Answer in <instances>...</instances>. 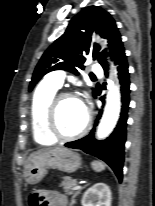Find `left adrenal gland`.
<instances>
[{
  "instance_id": "obj_1",
  "label": "left adrenal gland",
  "mask_w": 155,
  "mask_h": 206,
  "mask_svg": "<svg viewBox=\"0 0 155 206\" xmlns=\"http://www.w3.org/2000/svg\"><path fill=\"white\" fill-rule=\"evenodd\" d=\"M87 185H85L82 189H84ZM81 190L77 191L71 198L70 206L74 205L76 203V197L80 193Z\"/></svg>"
}]
</instances>
